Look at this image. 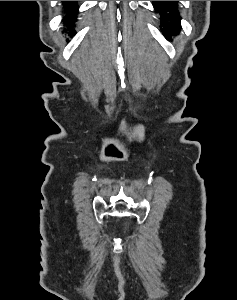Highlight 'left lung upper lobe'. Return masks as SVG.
Listing matches in <instances>:
<instances>
[{"label":"left lung upper lobe","instance_id":"1","mask_svg":"<svg viewBox=\"0 0 237 300\" xmlns=\"http://www.w3.org/2000/svg\"><path fill=\"white\" fill-rule=\"evenodd\" d=\"M154 8L160 16V27L163 34H173L180 30V14L178 11V1H153ZM170 35V36H171Z\"/></svg>","mask_w":237,"mask_h":300}]
</instances>
